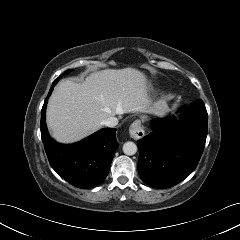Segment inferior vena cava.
Listing matches in <instances>:
<instances>
[{"mask_svg": "<svg viewBox=\"0 0 240 240\" xmlns=\"http://www.w3.org/2000/svg\"><path fill=\"white\" fill-rule=\"evenodd\" d=\"M118 124V119L116 117H109L102 122V125L107 127H115Z\"/></svg>", "mask_w": 240, "mask_h": 240, "instance_id": "inferior-vena-cava-1", "label": "inferior vena cava"}]
</instances>
